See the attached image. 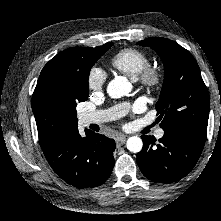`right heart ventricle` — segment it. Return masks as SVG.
Listing matches in <instances>:
<instances>
[{
  "label": "right heart ventricle",
  "instance_id": "1",
  "mask_svg": "<svg viewBox=\"0 0 221 221\" xmlns=\"http://www.w3.org/2000/svg\"><path fill=\"white\" fill-rule=\"evenodd\" d=\"M110 64L115 70L137 80L141 72L149 66L150 58L143 51L129 47L113 54Z\"/></svg>",
  "mask_w": 221,
  "mask_h": 221
}]
</instances>
